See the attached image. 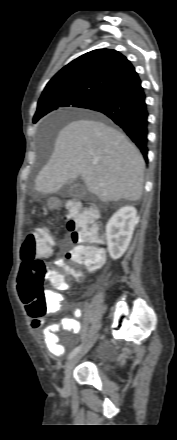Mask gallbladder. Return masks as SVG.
Instances as JSON below:
<instances>
[{"instance_id": "bac80fb5", "label": "gallbladder", "mask_w": 177, "mask_h": 440, "mask_svg": "<svg viewBox=\"0 0 177 440\" xmlns=\"http://www.w3.org/2000/svg\"><path fill=\"white\" fill-rule=\"evenodd\" d=\"M86 188L83 184H70V195L73 197H80L85 192Z\"/></svg>"}]
</instances>
